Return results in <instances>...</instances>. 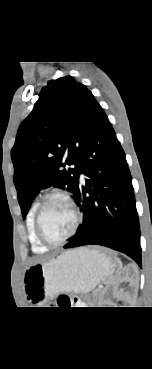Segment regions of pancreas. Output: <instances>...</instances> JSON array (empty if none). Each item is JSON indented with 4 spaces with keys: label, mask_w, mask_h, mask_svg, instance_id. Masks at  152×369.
I'll use <instances>...</instances> for the list:
<instances>
[{
    "label": "pancreas",
    "mask_w": 152,
    "mask_h": 369,
    "mask_svg": "<svg viewBox=\"0 0 152 369\" xmlns=\"http://www.w3.org/2000/svg\"><path fill=\"white\" fill-rule=\"evenodd\" d=\"M100 294V291L99 290H95L92 292V299L88 300V304L89 305H93V304H96L97 301H99V298H98V295Z\"/></svg>",
    "instance_id": "obj_1"
}]
</instances>
